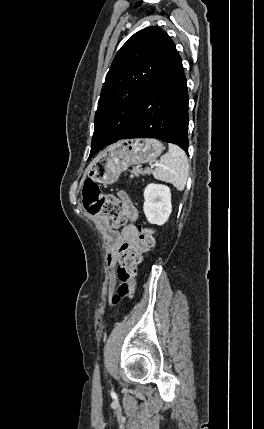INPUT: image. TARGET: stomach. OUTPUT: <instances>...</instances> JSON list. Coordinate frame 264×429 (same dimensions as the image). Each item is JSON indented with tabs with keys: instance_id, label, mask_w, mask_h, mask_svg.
Masks as SVG:
<instances>
[{
	"instance_id": "stomach-1",
	"label": "stomach",
	"mask_w": 264,
	"mask_h": 429,
	"mask_svg": "<svg viewBox=\"0 0 264 429\" xmlns=\"http://www.w3.org/2000/svg\"><path fill=\"white\" fill-rule=\"evenodd\" d=\"M163 151V144L153 138H137L119 141L90 164L87 175L99 184H113L130 165L155 160Z\"/></svg>"
}]
</instances>
